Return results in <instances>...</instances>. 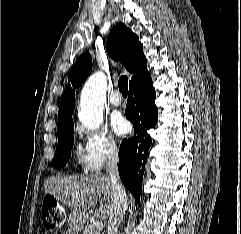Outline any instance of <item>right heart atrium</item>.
<instances>
[{
	"mask_svg": "<svg viewBox=\"0 0 241 234\" xmlns=\"http://www.w3.org/2000/svg\"><path fill=\"white\" fill-rule=\"evenodd\" d=\"M84 141V165L90 171H100L105 164L117 158L119 144L115 137L106 129L88 130L77 128Z\"/></svg>",
	"mask_w": 241,
	"mask_h": 234,
	"instance_id": "1",
	"label": "right heart atrium"
}]
</instances>
